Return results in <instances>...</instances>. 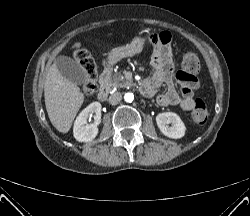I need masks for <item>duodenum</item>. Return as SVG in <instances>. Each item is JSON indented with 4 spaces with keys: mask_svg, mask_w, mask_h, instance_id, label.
Wrapping results in <instances>:
<instances>
[{
    "mask_svg": "<svg viewBox=\"0 0 250 216\" xmlns=\"http://www.w3.org/2000/svg\"><path fill=\"white\" fill-rule=\"evenodd\" d=\"M107 74H108V68H105L101 74L100 87H99V92H98V98L101 101H105L109 95V87L106 83ZM141 90L143 93H146V87L144 84H142Z\"/></svg>",
    "mask_w": 250,
    "mask_h": 216,
    "instance_id": "410a0bca",
    "label": "duodenum"
}]
</instances>
